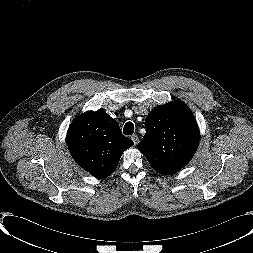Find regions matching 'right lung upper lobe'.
Instances as JSON below:
<instances>
[{"mask_svg":"<svg viewBox=\"0 0 253 253\" xmlns=\"http://www.w3.org/2000/svg\"><path fill=\"white\" fill-rule=\"evenodd\" d=\"M133 144L122 135L118 122L103 109L78 116L67 132V145L73 159L100 179L113 173L122 153Z\"/></svg>","mask_w":253,"mask_h":253,"instance_id":"obj_1","label":"right lung upper lobe"}]
</instances>
